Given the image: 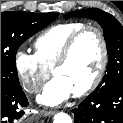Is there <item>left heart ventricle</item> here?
<instances>
[{
  "mask_svg": "<svg viewBox=\"0 0 123 123\" xmlns=\"http://www.w3.org/2000/svg\"><path fill=\"white\" fill-rule=\"evenodd\" d=\"M101 59V46L95 32H88L76 43L68 62L56 77L64 79L72 92L83 89L94 77Z\"/></svg>",
  "mask_w": 123,
  "mask_h": 123,
  "instance_id": "b2bd125f",
  "label": "left heart ventricle"
}]
</instances>
